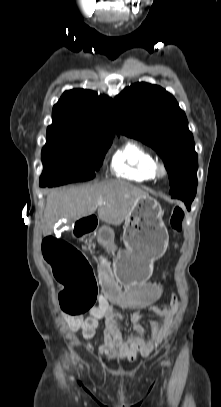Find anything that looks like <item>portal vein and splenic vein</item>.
Masks as SVG:
<instances>
[{
    "mask_svg": "<svg viewBox=\"0 0 221 407\" xmlns=\"http://www.w3.org/2000/svg\"><path fill=\"white\" fill-rule=\"evenodd\" d=\"M102 204H103V201L100 200V201L98 202V205H102Z\"/></svg>",
    "mask_w": 221,
    "mask_h": 407,
    "instance_id": "portal-vein-and-splenic-vein-1",
    "label": "portal vein and splenic vein"
}]
</instances>
